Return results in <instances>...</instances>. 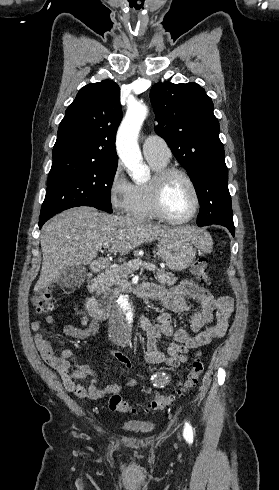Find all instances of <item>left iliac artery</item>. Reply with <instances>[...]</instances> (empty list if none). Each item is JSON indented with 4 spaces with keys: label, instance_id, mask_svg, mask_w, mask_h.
<instances>
[{
    "label": "left iliac artery",
    "instance_id": "1",
    "mask_svg": "<svg viewBox=\"0 0 279 490\" xmlns=\"http://www.w3.org/2000/svg\"><path fill=\"white\" fill-rule=\"evenodd\" d=\"M183 435L189 444L193 442V429L192 426L187 422L185 423Z\"/></svg>",
    "mask_w": 279,
    "mask_h": 490
}]
</instances>
